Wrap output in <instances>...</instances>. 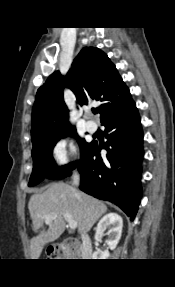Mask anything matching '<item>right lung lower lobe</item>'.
I'll return each mask as SVG.
<instances>
[{"label": "right lung lower lobe", "instance_id": "obj_1", "mask_svg": "<svg viewBox=\"0 0 175 287\" xmlns=\"http://www.w3.org/2000/svg\"><path fill=\"white\" fill-rule=\"evenodd\" d=\"M101 124L107 131L104 146L107 157L102 159L97 143L92 142L78 165L81 174L79 188L98 199L114 203L133 220L142 196L143 158V131L134 101L131 99L120 109L106 114Z\"/></svg>", "mask_w": 175, "mask_h": 287}]
</instances>
